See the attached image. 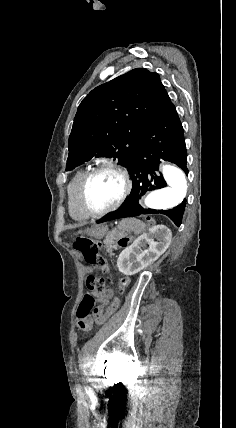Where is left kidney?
I'll list each match as a JSON object with an SVG mask.
<instances>
[{
    "label": "left kidney",
    "instance_id": "obj_1",
    "mask_svg": "<svg viewBox=\"0 0 236 428\" xmlns=\"http://www.w3.org/2000/svg\"><path fill=\"white\" fill-rule=\"evenodd\" d=\"M172 234L166 226H153L147 234L139 236L131 246L121 252L117 260V268L124 276L138 274L169 248ZM157 240V242H155Z\"/></svg>",
    "mask_w": 236,
    "mask_h": 428
}]
</instances>
